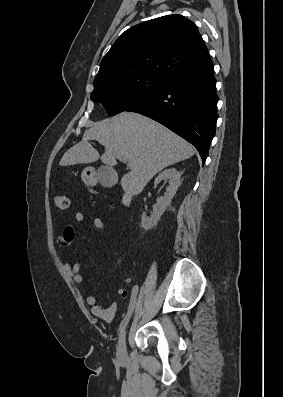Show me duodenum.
I'll return each instance as SVG.
<instances>
[{
	"label": "duodenum",
	"mask_w": 283,
	"mask_h": 397,
	"mask_svg": "<svg viewBox=\"0 0 283 397\" xmlns=\"http://www.w3.org/2000/svg\"><path fill=\"white\" fill-rule=\"evenodd\" d=\"M122 202L124 205H129V203L131 202V196L129 194H124Z\"/></svg>",
	"instance_id": "410a0bca"
}]
</instances>
